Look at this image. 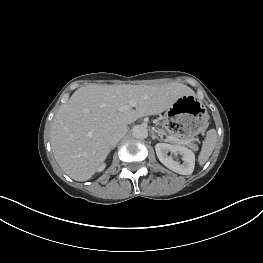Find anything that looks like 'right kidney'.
Returning a JSON list of instances; mask_svg holds the SVG:
<instances>
[{"instance_id": "ca27d5eb", "label": "right kidney", "mask_w": 263, "mask_h": 263, "mask_svg": "<svg viewBox=\"0 0 263 263\" xmlns=\"http://www.w3.org/2000/svg\"><path fill=\"white\" fill-rule=\"evenodd\" d=\"M105 168V164H102L99 168H98V171H102L103 169Z\"/></svg>"}]
</instances>
